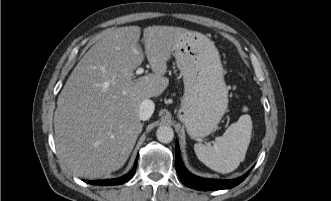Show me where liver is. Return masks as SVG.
Here are the masks:
<instances>
[{
    "instance_id": "obj_1",
    "label": "liver",
    "mask_w": 331,
    "mask_h": 201,
    "mask_svg": "<svg viewBox=\"0 0 331 201\" xmlns=\"http://www.w3.org/2000/svg\"><path fill=\"white\" fill-rule=\"evenodd\" d=\"M189 31L149 26L143 30L145 55L153 73L136 78L142 64L141 28L108 29L81 58L57 99L56 148L78 177L99 178L120 169L142 131L139 107L167 88V62Z\"/></svg>"
}]
</instances>
